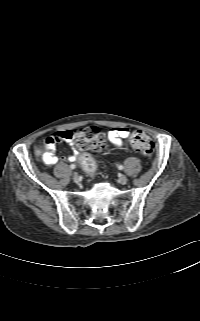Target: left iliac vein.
Here are the masks:
<instances>
[{"instance_id": "obj_1", "label": "left iliac vein", "mask_w": 200, "mask_h": 321, "mask_svg": "<svg viewBox=\"0 0 200 321\" xmlns=\"http://www.w3.org/2000/svg\"><path fill=\"white\" fill-rule=\"evenodd\" d=\"M127 181H128V179H127V177H126L125 175H121V176L119 177V182H120L121 184H126Z\"/></svg>"}]
</instances>
